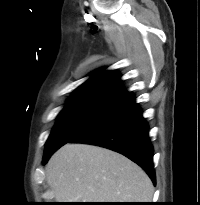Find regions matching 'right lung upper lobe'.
Listing matches in <instances>:
<instances>
[{"label": "right lung upper lobe", "instance_id": "obj_1", "mask_svg": "<svg viewBox=\"0 0 200 205\" xmlns=\"http://www.w3.org/2000/svg\"><path fill=\"white\" fill-rule=\"evenodd\" d=\"M99 69L89 80L79 86L70 100H102L116 102L127 92L120 84V74Z\"/></svg>", "mask_w": 200, "mask_h": 205}]
</instances>
